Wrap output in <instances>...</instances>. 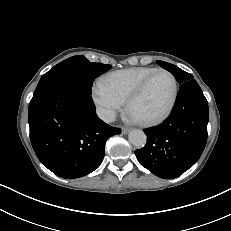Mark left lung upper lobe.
I'll return each mask as SVG.
<instances>
[{"label":"left lung upper lobe","mask_w":231,"mask_h":231,"mask_svg":"<svg viewBox=\"0 0 231 231\" xmlns=\"http://www.w3.org/2000/svg\"><path fill=\"white\" fill-rule=\"evenodd\" d=\"M157 64H159L161 67L171 72L175 76L178 83L180 84L193 79V76L191 74L183 71L182 69L178 68L177 66L173 64L163 62V61H157Z\"/></svg>","instance_id":"obj_1"}]
</instances>
